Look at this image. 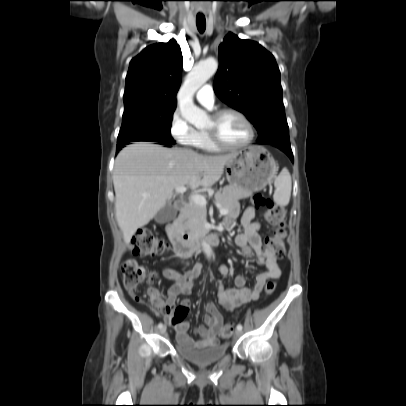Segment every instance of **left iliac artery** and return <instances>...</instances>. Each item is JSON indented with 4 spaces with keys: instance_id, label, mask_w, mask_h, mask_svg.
Listing matches in <instances>:
<instances>
[{
    "instance_id": "obj_1",
    "label": "left iliac artery",
    "mask_w": 406,
    "mask_h": 406,
    "mask_svg": "<svg viewBox=\"0 0 406 406\" xmlns=\"http://www.w3.org/2000/svg\"><path fill=\"white\" fill-rule=\"evenodd\" d=\"M237 330H242V325L241 324L237 325Z\"/></svg>"
}]
</instances>
